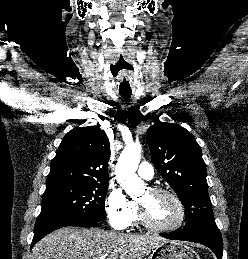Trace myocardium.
<instances>
[{"mask_svg":"<svg viewBox=\"0 0 248 259\" xmlns=\"http://www.w3.org/2000/svg\"><path fill=\"white\" fill-rule=\"evenodd\" d=\"M148 191L153 194H166V195L170 196L176 202V204L179 208V212H180L179 219L176 224L169 226V227L157 226L150 221V219L147 215L146 209L144 208V206L142 204H140L138 202L137 210H138L139 223L142 226H144L145 228H147L153 232H157V233H172V232H175L178 229H180L182 227V225L184 224V221L186 218V208L184 206L183 201L177 195V193H175L171 189H168V188H165L162 186H152L148 189Z\"/></svg>","mask_w":248,"mask_h":259,"instance_id":"obj_1","label":"myocardium"}]
</instances>
